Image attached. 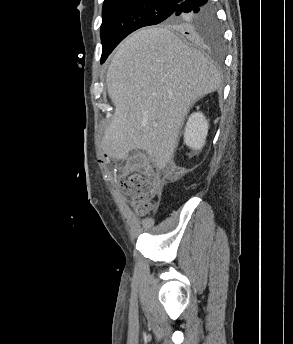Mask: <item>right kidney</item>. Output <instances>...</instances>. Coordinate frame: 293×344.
<instances>
[{
    "instance_id": "obj_1",
    "label": "right kidney",
    "mask_w": 293,
    "mask_h": 344,
    "mask_svg": "<svg viewBox=\"0 0 293 344\" xmlns=\"http://www.w3.org/2000/svg\"><path fill=\"white\" fill-rule=\"evenodd\" d=\"M208 128V121L203 113L191 114L185 126L184 143L193 150H201L205 145Z\"/></svg>"
}]
</instances>
